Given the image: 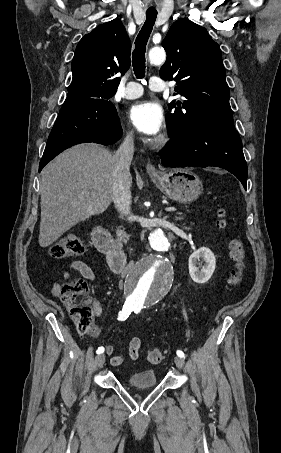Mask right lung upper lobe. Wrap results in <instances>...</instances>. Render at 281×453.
I'll list each match as a JSON object with an SVG mask.
<instances>
[{"instance_id":"obj_1","label":"right lung upper lobe","mask_w":281,"mask_h":453,"mask_svg":"<svg viewBox=\"0 0 281 453\" xmlns=\"http://www.w3.org/2000/svg\"><path fill=\"white\" fill-rule=\"evenodd\" d=\"M131 41L119 20L96 27L78 43L72 61V82L65 101L104 102L111 98L130 67Z\"/></svg>"}]
</instances>
